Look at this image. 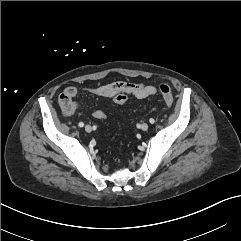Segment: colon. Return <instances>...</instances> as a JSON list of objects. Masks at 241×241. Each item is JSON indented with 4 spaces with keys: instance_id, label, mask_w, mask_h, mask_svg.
Masks as SVG:
<instances>
[{
    "instance_id": "5ec220e1",
    "label": "colon",
    "mask_w": 241,
    "mask_h": 241,
    "mask_svg": "<svg viewBox=\"0 0 241 241\" xmlns=\"http://www.w3.org/2000/svg\"><path fill=\"white\" fill-rule=\"evenodd\" d=\"M159 92H160L165 104L168 106H171L173 104L174 98H173V94H172L170 87L166 84H161L159 86ZM113 99H114L115 103L122 105L126 102L127 95H126V93H123V92L117 93Z\"/></svg>"
}]
</instances>
